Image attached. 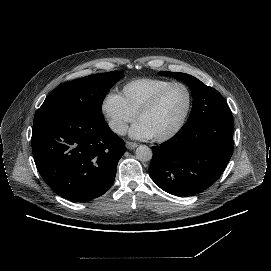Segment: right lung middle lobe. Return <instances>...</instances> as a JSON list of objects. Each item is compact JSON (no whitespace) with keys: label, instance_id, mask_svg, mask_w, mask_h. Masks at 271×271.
Returning <instances> with one entry per match:
<instances>
[{"label":"right lung middle lobe","instance_id":"obj_1","mask_svg":"<svg viewBox=\"0 0 271 271\" xmlns=\"http://www.w3.org/2000/svg\"><path fill=\"white\" fill-rule=\"evenodd\" d=\"M123 72L94 74L56 88L36 111L34 123L54 116L104 119L102 103Z\"/></svg>","mask_w":271,"mask_h":271}]
</instances>
